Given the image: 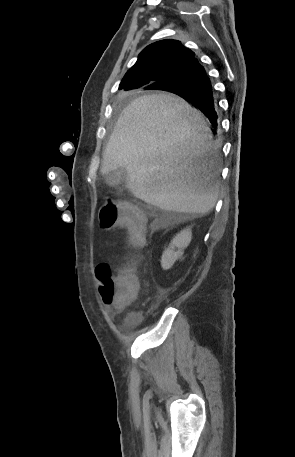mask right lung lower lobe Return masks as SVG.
<instances>
[{
	"mask_svg": "<svg viewBox=\"0 0 295 457\" xmlns=\"http://www.w3.org/2000/svg\"><path fill=\"white\" fill-rule=\"evenodd\" d=\"M146 89L174 90L186 101L199 108L217 126L216 103L212 86L205 69L197 59L187 64L174 80L158 83Z\"/></svg>",
	"mask_w": 295,
	"mask_h": 457,
	"instance_id": "right-lung-lower-lobe-1",
	"label": "right lung lower lobe"
}]
</instances>
